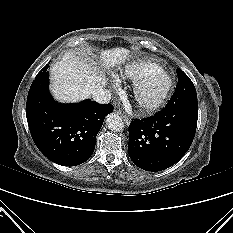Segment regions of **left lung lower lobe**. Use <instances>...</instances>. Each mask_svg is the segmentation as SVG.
Returning <instances> with one entry per match:
<instances>
[{
  "label": "left lung lower lobe",
  "mask_w": 233,
  "mask_h": 233,
  "mask_svg": "<svg viewBox=\"0 0 233 233\" xmlns=\"http://www.w3.org/2000/svg\"><path fill=\"white\" fill-rule=\"evenodd\" d=\"M198 102H168L154 116L134 119L129 125L128 152L146 171H161L178 162L190 148L197 127Z\"/></svg>",
  "instance_id": "0a47b994"
}]
</instances>
